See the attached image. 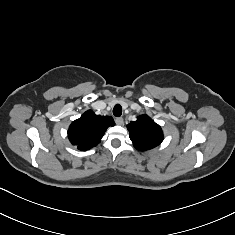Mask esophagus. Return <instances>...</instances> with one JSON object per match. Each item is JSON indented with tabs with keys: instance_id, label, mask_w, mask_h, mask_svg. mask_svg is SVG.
I'll return each mask as SVG.
<instances>
[{
	"instance_id": "34e87169",
	"label": "esophagus",
	"mask_w": 235,
	"mask_h": 235,
	"mask_svg": "<svg viewBox=\"0 0 235 235\" xmlns=\"http://www.w3.org/2000/svg\"><path fill=\"white\" fill-rule=\"evenodd\" d=\"M115 122H116L117 125H123L124 124V120H123L122 117H117L115 119Z\"/></svg>"
}]
</instances>
